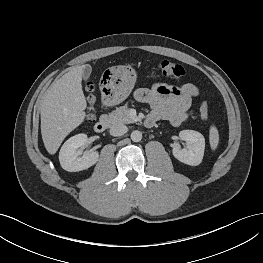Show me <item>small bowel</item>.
I'll list each match as a JSON object with an SVG mask.
<instances>
[{"mask_svg": "<svg viewBox=\"0 0 263 263\" xmlns=\"http://www.w3.org/2000/svg\"><path fill=\"white\" fill-rule=\"evenodd\" d=\"M198 94L197 86L185 83L179 86L154 84L150 88L137 89L134 96L137 101L150 107L147 119H151L153 124L164 120L179 126L190 116L192 98Z\"/></svg>", "mask_w": 263, "mask_h": 263, "instance_id": "obj_1", "label": "small bowel"}]
</instances>
